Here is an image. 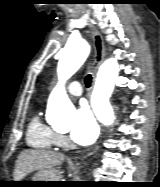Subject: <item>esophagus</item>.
<instances>
[{
	"instance_id": "34e87169",
	"label": "esophagus",
	"mask_w": 160,
	"mask_h": 187,
	"mask_svg": "<svg viewBox=\"0 0 160 187\" xmlns=\"http://www.w3.org/2000/svg\"><path fill=\"white\" fill-rule=\"evenodd\" d=\"M92 32H93V42H94V49H95L93 76L95 77L99 66L104 61L105 54H106V48H105V44H104V39H103L102 35L100 34V32L95 27H93ZM99 147H100L99 145L95 146L93 151H90L87 153V156L98 151Z\"/></svg>"
}]
</instances>
